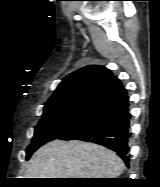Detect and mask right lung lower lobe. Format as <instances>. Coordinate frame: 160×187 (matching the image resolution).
Wrapping results in <instances>:
<instances>
[{
  "mask_svg": "<svg viewBox=\"0 0 160 187\" xmlns=\"http://www.w3.org/2000/svg\"><path fill=\"white\" fill-rule=\"evenodd\" d=\"M129 101L125 88L96 104L88 116L59 136L61 140H82L115 151L129 165Z\"/></svg>",
  "mask_w": 160,
  "mask_h": 187,
  "instance_id": "right-lung-lower-lobe-1",
  "label": "right lung lower lobe"
}]
</instances>
